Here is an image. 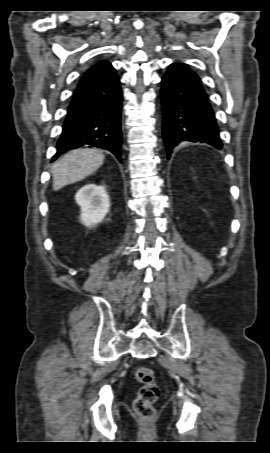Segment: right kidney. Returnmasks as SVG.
<instances>
[{
	"instance_id": "obj_1",
	"label": "right kidney",
	"mask_w": 270,
	"mask_h": 453,
	"mask_svg": "<svg viewBox=\"0 0 270 453\" xmlns=\"http://www.w3.org/2000/svg\"><path fill=\"white\" fill-rule=\"evenodd\" d=\"M75 199L81 207V222L87 227L102 222L109 212L110 200L104 186L86 184L78 190Z\"/></svg>"
}]
</instances>
